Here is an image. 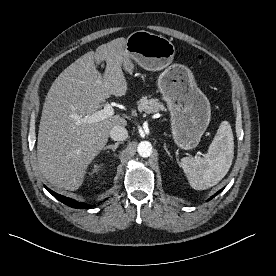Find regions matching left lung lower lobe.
Here are the masks:
<instances>
[{
	"instance_id": "obj_1",
	"label": "left lung lower lobe",
	"mask_w": 276,
	"mask_h": 276,
	"mask_svg": "<svg viewBox=\"0 0 276 276\" xmlns=\"http://www.w3.org/2000/svg\"><path fill=\"white\" fill-rule=\"evenodd\" d=\"M222 190L218 191L215 195H213L212 197L216 196L218 193H220ZM212 197L210 199H212Z\"/></svg>"
}]
</instances>
